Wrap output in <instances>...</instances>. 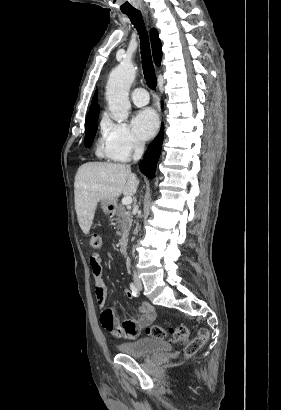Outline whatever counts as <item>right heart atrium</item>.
I'll use <instances>...</instances> for the list:
<instances>
[{
  "label": "right heart atrium",
  "mask_w": 281,
  "mask_h": 410,
  "mask_svg": "<svg viewBox=\"0 0 281 410\" xmlns=\"http://www.w3.org/2000/svg\"><path fill=\"white\" fill-rule=\"evenodd\" d=\"M103 134L110 155L115 160H128L133 154L140 152L144 147L143 142L126 123L105 119L103 121Z\"/></svg>",
  "instance_id": "d8ad5b80"
}]
</instances>
